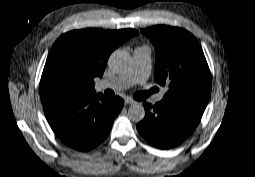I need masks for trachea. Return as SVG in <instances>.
<instances>
[{
  "mask_svg": "<svg viewBox=\"0 0 255 177\" xmlns=\"http://www.w3.org/2000/svg\"><path fill=\"white\" fill-rule=\"evenodd\" d=\"M151 93H153V90L137 92V93H134L133 97L137 100H142V99L147 98Z\"/></svg>",
  "mask_w": 255,
  "mask_h": 177,
  "instance_id": "obj_1",
  "label": "trachea"
}]
</instances>
